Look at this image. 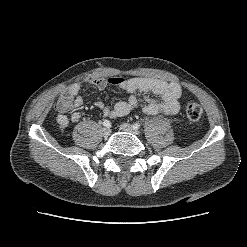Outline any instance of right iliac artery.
Masks as SVG:
<instances>
[{
	"instance_id": "right-iliac-artery-1",
	"label": "right iliac artery",
	"mask_w": 247,
	"mask_h": 247,
	"mask_svg": "<svg viewBox=\"0 0 247 247\" xmlns=\"http://www.w3.org/2000/svg\"><path fill=\"white\" fill-rule=\"evenodd\" d=\"M103 125H104L105 127H109V126H110V121H109V120H105V121L103 122Z\"/></svg>"
}]
</instances>
